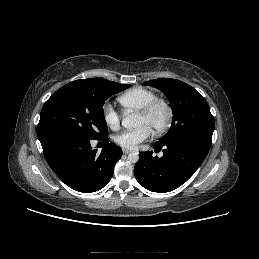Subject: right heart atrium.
Returning <instances> with one entry per match:
<instances>
[{
    "mask_svg": "<svg viewBox=\"0 0 259 259\" xmlns=\"http://www.w3.org/2000/svg\"><path fill=\"white\" fill-rule=\"evenodd\" d=\"M102 116L106 125L112 130H116L120 126V114L110 103H105L102 107Z\"/></svg>",
    "mask_w": 259,
    "mask_h": 259,
    "instance_id": "1",
    "label": "right heart atrium"
}]
</instances>
